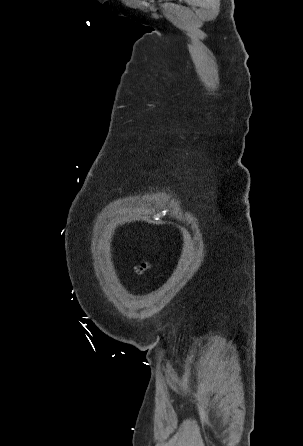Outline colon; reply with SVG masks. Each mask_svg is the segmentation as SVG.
Segmentation results:
<instances>
[{"label":"colon","instance_id":"1","mask_svg":"<svg viewBox=\"0 0 303 446\" xmlns=\"http://www.w3.org/2000/svg\"><path fill=\"white\" fill-rule=\"evenodd\" d=\"M148 263H142L140 266L137 267L136 272L137 273H142L145 269L148 268Z\"/></svg>","mask_w":303,"mask_h":446}]
</instances>
